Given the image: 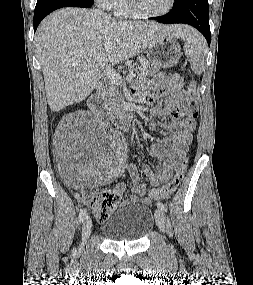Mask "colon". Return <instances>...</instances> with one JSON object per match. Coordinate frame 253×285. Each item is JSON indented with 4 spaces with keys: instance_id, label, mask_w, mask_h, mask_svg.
<instances>
[{
    "instance_id": "1",
    "label": "colon",
    "mask_w": 253,
    "mask_h": 285,
    "mask_svg": "<svg viewBox=\"0 0 253 285\" xmlns=\"http://www.w3.org/2000/svg\"><path fill=\"white\" fill-rule=\"evenodd\" d=\"M188 102L186 115L189 119L195 120L199 115L198 91L196 82L191 79L188 85ZM187 166V159H184L175 173L173 179L166 185L152 190L153 194H172L181 184ZM78 198L90 205L99 221L108 218L110 212L118 204L120 195L114 190H105L99 193H82Z\"/></svg>"
}]
</instances>
